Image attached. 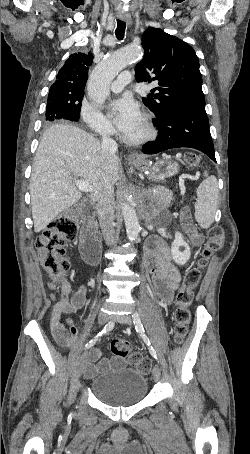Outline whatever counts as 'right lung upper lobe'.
<instances>
[{"label":"right lung upper lobe","instance_id":"1","mask_svg":"<svg viewBox=\"0 0 250 454\" xmlns=\"http://www.w3.org/2000/svg\"><path fill=\"white\" fill-rule=\"evenodd\" d=\"M93 62L92 53H74L69 56L63 67L59 70L56 81L50 87V94L74 97L84 93L88 79V69Z\"/></svg>","mask_w":250,"mask_h":454}]
</instances>
